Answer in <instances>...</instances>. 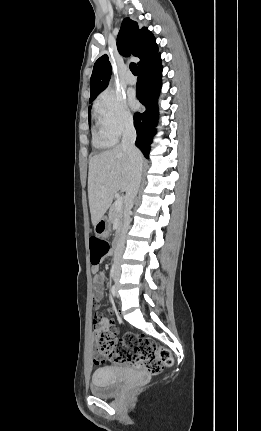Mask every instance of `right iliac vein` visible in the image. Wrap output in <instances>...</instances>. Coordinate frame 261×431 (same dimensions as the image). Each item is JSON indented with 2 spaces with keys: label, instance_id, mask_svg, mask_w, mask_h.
I'll use <instances>...</instances> for the list:
<instances>
[{
  "label": "right iliac vein",
  "instance_id": "63e3f726",
  "mask_svg": "<svg viewBox=\"0 0 261 431\" xmlns=\"http://www.w3.org/2000/svg\"><path fill=\"white\" fill-rule=\"evenodd\" d=\"M116 284H118V277L115 278Z\"/></svg>",
  "mask_w": 261,
  "mask_h": 431
}]
</instances>
